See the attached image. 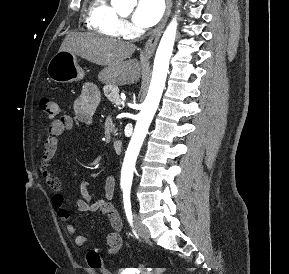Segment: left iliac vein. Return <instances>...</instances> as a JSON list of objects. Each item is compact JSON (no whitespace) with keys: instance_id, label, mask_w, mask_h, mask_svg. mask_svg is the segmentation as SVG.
Masks as SVG:
<instances>
[{"instance_id":"1","label":"left iliac vein","mask_w":289,"mask_h":274,"mask_svg":"<svg viewBox=\"0 0 289 274\" xmlns=\"http://www.w3.org/2000/svg\"><path fill=\"white\" fill-rule=\"evenodd\" d=\"M134 228L138 235L143 239H149L150 231L149 229L141 222L140 218L134 214L133 216Z\"/></svg>"}]
</instances>
